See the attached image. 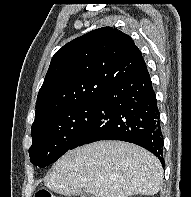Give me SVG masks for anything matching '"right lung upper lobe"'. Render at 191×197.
<instances>
[{
  "label": "right lung upper lobe",
  "instance_id": "cb5924a9",
  "mask_svg": "<svg viewBox=\"0 0 191 197\" xmlns=\"http://www.w3.org/2000/svg\"><path fill=\"white\" fill-rule=\"evenodd\" d=\"M145 68L139 48L117 28L102 27L72 40L51 60L32 126L61 110L98 101L108 87Z\"/></svg>",
  "mask_w": 191,
  "mask_h": 197
}]
</instances>
